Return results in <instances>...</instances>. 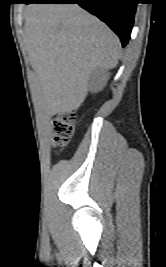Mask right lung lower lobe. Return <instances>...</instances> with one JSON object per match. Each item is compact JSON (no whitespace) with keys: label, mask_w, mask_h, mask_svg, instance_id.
<instances>
[{"label":"right lung lower lobe","mask_w":166,"mask_h":267,"mask_svg":"<svg viewBox=\"0 0 166 267\" xmlns=\"http://www.w3.org/2000/svg\"><path fill=\"white\" fill-rule=\"evenodd\" d=\"M24 3H77L105 22L126 46L133 27L137 0H25Z\"/></svg>","instance_id":"obj_1"}]
</instances>
